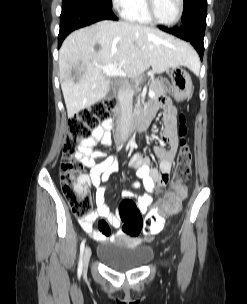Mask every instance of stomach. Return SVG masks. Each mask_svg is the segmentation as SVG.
Wrapping results in <instances>:
<instances>
[{
    "label": "stomach",
    "mask_w": 247,
    "mask_h": 304,
    "mask_svg": "<svg viewBox=\"0 0 247 304\" xmlns=\"http://www.w3.org/2000/svg\"><path fill=\"white\" fill-rule=\"evenodd\" d=\"M171 84L169 90L177 101L188 98L192 93V80L187 71L180 67H172L169 71Z\"/></svg>",
    "instance_id": "obj_1"
}]
</instances>
